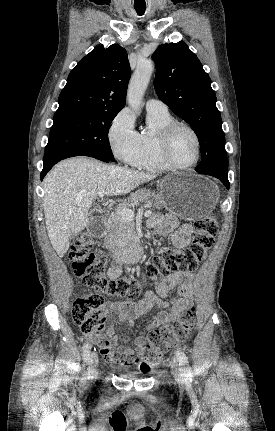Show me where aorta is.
<instances>
[{
  "instance_id": "aorta-1",
  "label": "aorta",
  "mask_w": 275,
  "mask_h": 431,
  "mask_svg": "<svg viewBox=\"0 0 275 431\" xmlns=\"http://www.w3.org/2000/svg\"><path fill=\"white\" fill-rule=\"evenodd\" d=\"M153 70L154 65L151 60H142L138 63L131 77L127 91V102L135 111L139 110Z\"/></svg>"
}]
</instances>
